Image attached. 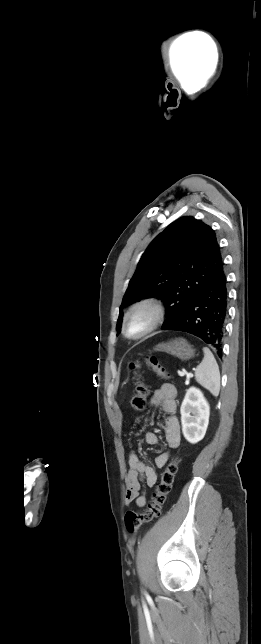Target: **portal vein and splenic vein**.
Segmentation results:
<instances>
[{
    "mask_svg": "<svg viewBox=\"0 0 261 644\" xmlns=\"http://www.w3.org/2000/svg\"><path fill=\"white\" fill-rule=\"evenodd\" d=\"M178 375H179L180 377H183V376H185V375H187L188 377H192V374H191V373H186V372H184V371H178Z\"/></svg>",
    "mask_w": 261,
    "mask_h": 644,
    "instance_id": "18ae733b",
    "label": "portal vein and splenic vein"
}]
</instances>
